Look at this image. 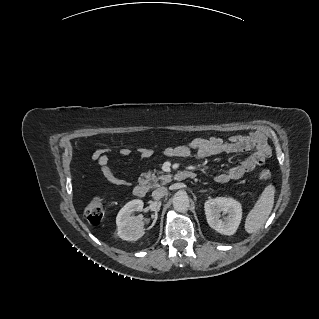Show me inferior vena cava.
Instances as JSON below:
<instances>
[{
    "label": "inferior vena cava",
    "instance_id": "1",
    "mask_svg": "<svg viewBox=\"0 0 319 319\" xmlns=\"http://www.w3.org/2000/svg\"><path fill=\"white\" fill-rule=\"evenodd\" d=\"M166 194H167V188L166 187H159L152 192V197L154 200H160Z\"/></svg>",
    "mask_w": 319,
    "mask_h": 319
}]
</instances>
